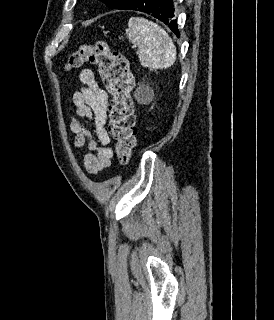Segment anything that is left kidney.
Segmentation results:
<instances>
[{
    "instance_id": "obj_1",
    "label": "left kidney",
    "mask_w": 274,
    "mask_h": 320,
    "mask_svg": "<svg viewBox=\"0 0 274 320\" xmlns=\"http://www.w3.org/2000/svg\"><path fill=\"white\" fill-rule=\"evenodd\" d=\"M135 96L140 104H150L153 100L154 92L149 86H144L142 92L137 90Z\"/></svg>"
}]
</instances>
